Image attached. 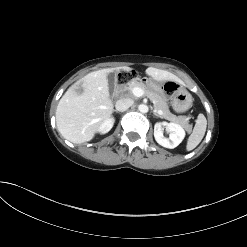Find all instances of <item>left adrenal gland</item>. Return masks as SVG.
Here are the masks:
<instances>
[{"mask_svg": "<svg viewBox=\"0 0 247 247\" xmlns=\"http://www.w3.org/2000/svg\"><path fill=\"white\" fill-rule=\"evenodd\" d=\"M153 114L156 116V117H160L161 118V116L154 110L153 111Z\"/></svg>", "mask_w": 247, "mask_h": 247, "instance_id": "obj_1", "label": "left adrenal gland"}]
</instances>
